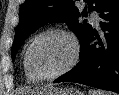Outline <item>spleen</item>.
I'll list each match as a JSON object with an SVG mask.
<instances>
[{
  "label": "spleen",
  "instance_id": "1",
  "mask_svg": "<svg viewBox=\"0 0 119 95\" xmlns=\"http://www.w3.org/2000/svg\"><path fill=\"white\" fill-rule=\"evenodd\" d=\"M89 94L90 95H117L112 92H105V91H100V90H90Z\"/></svg>",
  "mask_w": 119,
  "mask_h": 95
}]
</instances>
